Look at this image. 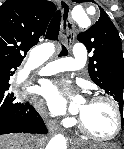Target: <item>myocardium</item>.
Segmentation results:
<instances>
[{"label": "myocardium", "mask_w": 124, "mask_h": 149, "mask_svg": "<svg viewBox=\"0 0 124 149\" xmlns=\"http://www.w3.org/2000/svg\"><path fill=\"white\" fill-rule=\"evenodd\" d=\"M99 101L107 102L112 106L115 116H116L115 131L110 136L102 137V136H98V135L94 134L85 125V123L82 121V119L80 117L77 119V123H78V127L81 130V132L84 133L85 135H87L88 137H90L91 139H93L95 141H99V142H109V141L116 139L121 134V132L123 130V126H124V123H123L124 113L122 112L118 102L109 96L97 95V96L92 97L90 100V102H99Z\"/></svg>", "instance_id": "f54148a6"}]
</instances>
